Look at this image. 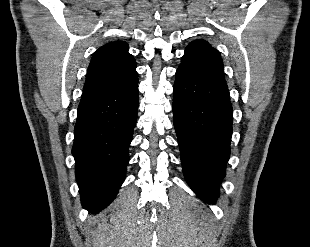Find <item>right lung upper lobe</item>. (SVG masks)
Listing matches in <instances>:
<instances>
[{
    "instance_id": "right-lung-upper-lobe-1",
    "label": "right lung upper lobe",
    "mask_w": 310,
    "mask_h": 247,
    "mask_svg": "<svg viewBox=\"0 0 310 247\" xmlns=\"http://www.w3.org/2000/svg\"><path fill=\"white\" fill-rule=\"evenodd\" d=\"M126 42H110L92 56L83 92L129 86L138 81Z\"/></svg>"
}]
</instances>
